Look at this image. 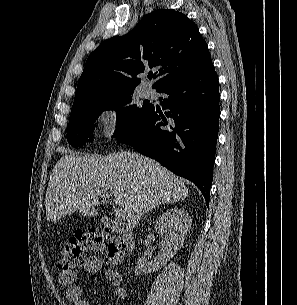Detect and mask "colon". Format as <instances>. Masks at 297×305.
<instances>
[{"instance_id":"1","label":"colon","mask_w":297,"mask_h":305,"mask_svg":"<svg viewBox=\"0 0 297 305\" xmlns=\"http://www.w3.org/2000/svg\"><path fill=\"white\" fill-rule=\"evenodd\" d=\"M91 252H100L106 262L118 267L124 260V246L122 241L109 231L97 228H88L76 232L58 250V268L61 271H70L81 266Z\"/></svg>"}]
</instances>
